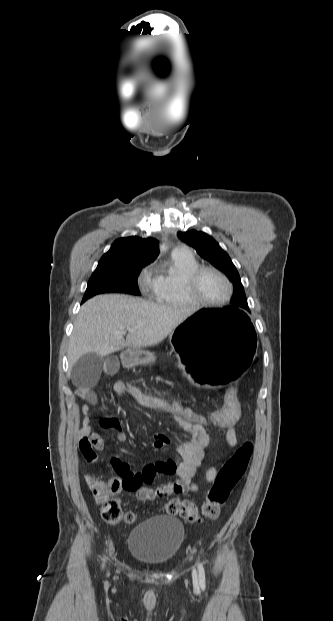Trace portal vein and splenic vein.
Masks as SVG:
<instances>
[{"mask_svg":"<svg viewBox=\"0 0 333 621\" xmlns=\"http://www.w3.org/2000/svg\"><path fill=\"white\" fill-rule=\"evenodd\" d=\"M126 331H130V329L124 330L123 333H125Z\"/></svg>","mask_w":333,"mask_h":621,"instance_id":"portal-vein-and-splenic-vein-1","label":"portal vein and splenic vein"}]
</instances>
